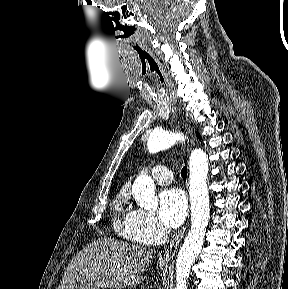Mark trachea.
<instances>
[{"label":"trachea","mask_w":288,"mask_h":289,"mask_svg":"<svg viewBox=\"0 0 288 289\" xmlns=\"http://www.w3.org/2000/svg\"><path fill=\"white\" fill-rule=\"evenodd\" d=\"M139 60L141 62L144 71H147L155 80L161 82L164 79L163 72L161 71L155 57L147 50H140L138 52ZM181 176L186 180L187 178V167L184 166L181 170Z\"/></svg>","instance_id":"3493384b"}]
</instances>
